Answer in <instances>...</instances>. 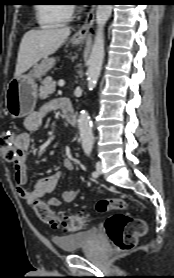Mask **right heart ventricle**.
<instances>
[{
  "mask_svg": "<svg viewBox=\"0 0 174 278\" xmlns=\"http://www.w3.org/2000/svg\"><path fill=\"white\" fill-rule=\"evenodd\" d=\"M36 17L42 28H54L71 20L72 8L67 4H40L36 7Z\"/></svg>",
  "mask_w": 174,
  "mask_h": 278,
  "instance_id": "right-heart-ventricle-1",
  "label": "right heart ventricle"
}]
</instances>
